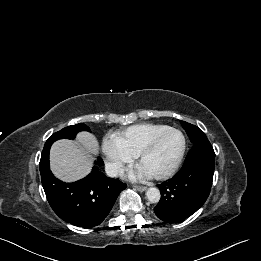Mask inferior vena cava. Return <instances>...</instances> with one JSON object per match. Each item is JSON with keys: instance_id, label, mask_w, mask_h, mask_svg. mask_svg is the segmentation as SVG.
<instances>
[{"instance_id": "1", "label": "inferior vena cava", "mask_w": 261, "mask_h": 261, "mask_svg": "<svg viewBox=\"0 0 261 261\" xmlns=\"http://www.w3.org/2000/svg\"><path fill=\"white\" fill-rule=\"evenodd\" d=\"M105 172L109 177H118L124 173L123 166L115 162L105 164Z\"/></svg>"}]
</instances>
